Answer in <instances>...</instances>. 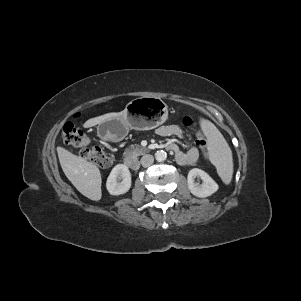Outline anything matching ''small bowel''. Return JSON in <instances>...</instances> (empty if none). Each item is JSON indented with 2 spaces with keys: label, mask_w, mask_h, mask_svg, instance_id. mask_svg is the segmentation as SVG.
Masks as SVG:
<instances>
[{
  "label": "small bowel",
  "mask_w": 301,
  "mask_h": 301,
  "mask_svg": "<svg viewBox=\"0 0 301 301\" xmlns=\"http://www.w3.org/2000/svg\"><path fill=\"white\" fill-rule=\"evenodd\" d=\"M156 133L161 137L176 136L178 138H184V131L177 125H164L156 130ZM168 148L175 153V158L178 163L183 165H191L198 159L199 150L197 147L192 146L185 151L179 150L176 144L170 143Z\"/></svg>",
  "instance_id": "obj_1"
}]
</instances>
